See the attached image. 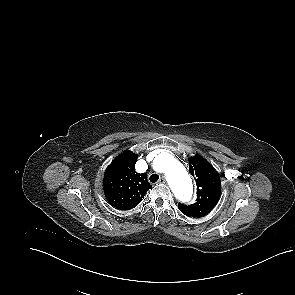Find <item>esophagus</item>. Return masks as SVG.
<instances>
[{
    "mask_svg": "<svg viewBox=\"0 0 295 295\" xmlns=\"http://www.w3.org/2000/svg\"><path fill=\"white\" fill-rule=\"evenodd\" d=\"M158 183H160V184H165V183H166L165 178H164V177H161V178L159 179Z\"/></svg>",
    "mask_w": 295,
    "mask_h": 295,
    "instance_id": "esophagus-1",
    "label": "esophagus"
}]
</instances>
